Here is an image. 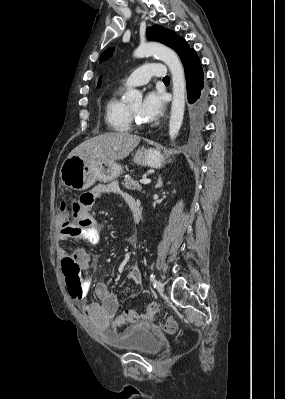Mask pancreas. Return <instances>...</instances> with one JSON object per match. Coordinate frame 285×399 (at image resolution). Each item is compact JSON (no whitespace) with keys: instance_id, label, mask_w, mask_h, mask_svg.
Segmentation results:
<instances>
[{"instance_id":"cf45deb5","label":"pancreas","mask_w":285,"mask_h":399,"mask_svg":"<svg viewBox=\"0 0 285 399\" xmlns=\"http://www.w3.org/2000/svg\"><path fill=\"white\" fill-rule=\"evenodd\" d=\"M125 188L130 189V190H142V186L137 182L134 181L131 177L126 176L124 178V181L122 182Z\"/></svg>"}]
</instances>
